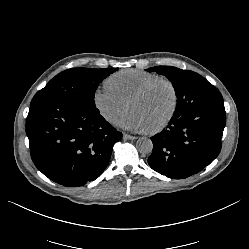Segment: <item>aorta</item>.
Returning <instances> with one entry per match:
<instances>
[{
  "label": "aorta",
  "instance_id": "obj_1",
  "mask_svg": "<svg viewBox=\"0 0 249 249\" xmlns=\"http://www.w3.org/2000/svg\"><path fill=\"white\" fill-rule=\"evenodd\" d=\"M136 148L141 154H150L153 150V143L147 137H140L136 142Z\"/></svg>",
  "mask_w": 249,
  "mask_h": 249
}]
</instances>
